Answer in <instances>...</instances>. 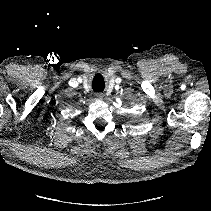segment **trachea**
Wrapping results in <instances>:
<instances>
[{
  "label": "trachea",
  "instance_id": "trachea-1",
  "mask_svg": "<svg viewBox=\"0 0 211 211\" xmlns=\"http://www.w3.org/2000/svg\"><path fill=\"white\" fill-rule=\"evenodd\" d=\"M93 90L98 91V92H102L104 90V80H101L100 83H98L97 85H93Z\"/></svg>",
  "mask_w": 211,
  "mask_h": 211
}]
</instances>
